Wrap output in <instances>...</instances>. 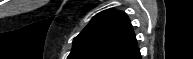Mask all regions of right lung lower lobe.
<instances>
[{
  "mask_svg": "<svg viewBox=\"0 0 193 59\" xmlns=\"http://www.w3.org/2000/svg\"><path fill=\"white\" fill-rule=\"evenodd\" d=\"M140 52H136L135 54H133L132 56H130L128 59H140Z\"/></svg>",
  "mask_w": 193,
  "mask_h": 59,
  "instance_id": "98d812e1",
  "label": "right lung lower lobe"
}]
</instances>
